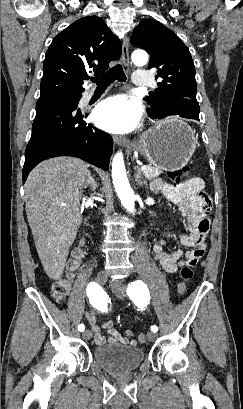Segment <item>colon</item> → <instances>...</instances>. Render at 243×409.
Segmentation results:
<instances>
[{
	"label": "colon",
	"mask_w": 243,
	"mask_h": 409,
	"mask_svg": "<svg viewBox=\"0 0 243 409\" xmlns=\"http://www.w3.org/2000/svg\"><path fill=\"white\" fill-rule=\"evenodd\" d=\"M191 173L189 167H181L169 172V178L173 181H180L188 177ZM82 257V251L77 250L72 259L68 262V276L65 279H58L52 284V296L56 301H62L69 292L70 280L73 277L74 272L79 266V261ZM193 271L189 266H183L180 270L181 281L177 285V291L180 295H184L187 292V282L192 278ZM138 341L140 343L146 342V335L144 333L139 334Z\"/></svg>",
	"instance_id": "obj_1"
}]
</instances>
